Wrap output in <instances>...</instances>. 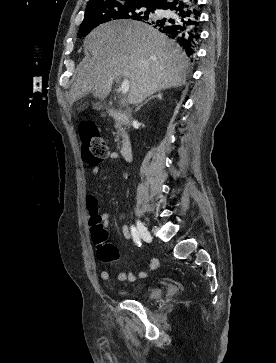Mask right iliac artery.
<instances>
[{
    "label": "right iliac artery",
    "mask_w": 276,
    "mask_h": 363,
    "mask_svg": "<svg viewBox=\"0 0 276 363\" xmlns=\"http://www.w3.org/2000/svg\"><path fill=\"white\" fill-rule=\"evenodd\" d=\"M131 234H132V238H133V241L135 242V244L140 247L141 246L140 236H139L137 229L134 226H131Z\"/></svg>",
    "instance_id": "1"
}]
</instances>
